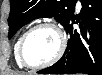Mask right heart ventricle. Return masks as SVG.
Instances as JSON below:
<instances>
[{
	"mask_svg": "<svg viewBox=\"0 0 102 75\" xmlns=\"http://www.w3.org/2000/svg\"><path fill=\"white\" fill-rule=\"evenodd\" d=\"M27 29H28V28L22 30V31L18 34V36H17V38H16V40H15V43H14V55H15V60H16V62H17V64H18L19 66H22V65H23V62L21 61L20 56H19V44H20V40H21L23 34L26 32Z\"/></svg>",
	"mask_w": 102,
	"mask_h": 75,
	"instance_id": "right-heart-ventricle-1",
	"label": "right heart ventricle"
}]
</instances>
